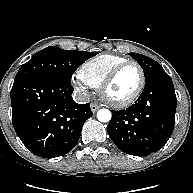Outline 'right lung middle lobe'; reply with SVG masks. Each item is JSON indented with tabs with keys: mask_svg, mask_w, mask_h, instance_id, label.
<instances>
[{
	"mask_svg": "<svg viewBox=\"0 0 193 193\" xmlns=\"http://www.w3.org/2000/svg\"><path fill=\"white\" fill-rule=\"evenodd\" d=\"M96 55L93 52L63 50L49 46L37 52L22 65L15 77L19 80L30 76H45L71 83L72 74L85 60Z\"/></svg>",
	"mask_w": 193,
	"mask_h": 193,
	"instance_id": "dd1d6c3e",
	"label": "right lung middle lobe"
}]
</instances>
